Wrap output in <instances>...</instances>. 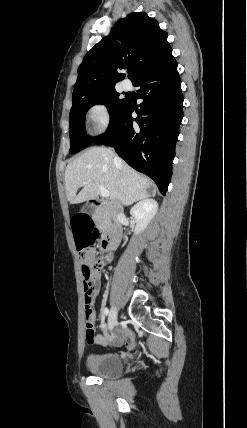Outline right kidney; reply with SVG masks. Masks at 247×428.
Returning <instances> with one entry per match:
<instances>
[{
	"label": "right kidney",
	"instance_id": "right-kidney-1",
	"mask_svg": "<svg viewBox=\"0 0 247 428\" xmlns=\"http://www.w3.org/2000/svg\"><path fill=\"white\" fill-rule=\"evenodd\" d=\"M157 210L158 203L154 199H144L131 208L130 214L136 222L134 231L136 235L146 229L150 221L156 215Z\"/></svg>",
	"mask_w": 247,
	"mask_h": 428
}]
</instances>
